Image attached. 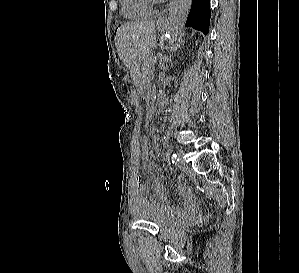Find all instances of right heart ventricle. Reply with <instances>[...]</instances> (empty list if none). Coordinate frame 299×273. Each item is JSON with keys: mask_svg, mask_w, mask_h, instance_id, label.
<instances>
[{"mask_svg": "<svg viewBox=\"0 0 299 273\" xmlns=\"http://www.w3.org/2000/svg\"><path fill=\"white\" fill-rule=\"evenodd\" d=\"M121 13L129 20L139 21L149 18L153 10L145 0H122Z\"/></svg>", "mask_w": 299, "mask_h": 273, "instance_id": "obj_1", "label": "right heart ventricle"}]
</instances>
